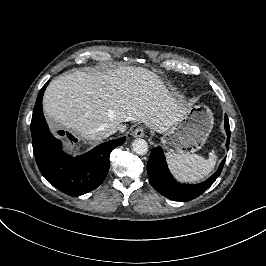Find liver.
Segmentation results:
<instances>
[{"label": "liver", "instance_id": "liver-1", "mask_svg": "<svg viewBox=\"0 0 266 266\" xmlns=\"http://www.w3.org/2000/svg\"><path fill=\"white\" fill-rule=\"evenodd\" d=\"M43 108L49 122L93 143L105 138L106 130L131 121L164 134L187 114L156 74L124 65L56 78L45 91Z\"/></svg>", "mask_w": 266, "mask_h": 266}]
</instances>
